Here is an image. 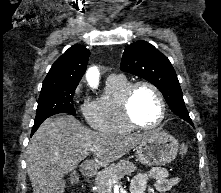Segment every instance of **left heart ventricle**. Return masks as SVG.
<instances>
[{"label": "left heart ventricle", "mask_w": 221, "mask_h": 193, "mask_svg": "<svg viewBox=\"0 0 221 193\" xmlns=\"http://www.w3.org/2000/svg\"><path fill=\"white\" fill-rule=\"evenodd\" d=\"M131 111L139 124H154L160 115V103L154 91L146 86L138 87L132 97Z\"/></svg>", "instance_id": "left-heart-ventricle-1"}]
</instances>
